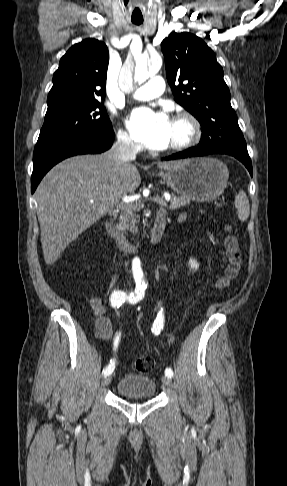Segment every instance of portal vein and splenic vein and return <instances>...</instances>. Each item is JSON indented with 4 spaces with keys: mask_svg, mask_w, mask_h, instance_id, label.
I'll use <instances>...</instances> for the list:
<instances>
[{
    "mask_svg": "<svg viewBox=\"0 0 287 486\" xmlns=\"http://www.w3.org/2000/svg\"><path fill=\"white\" fill-rule=\"evenodd\" d=\"M169 196L168 197H165V199H163L162 197H159V196H153L152 198H150L151 201L159 204L160 206H166L167 205V201L169 200ZM133 200V198L131 197H124L123 198V202L125 203H128V202H131ZM91 203H93V201H91Z\"/></svg>",
    "mask_w": 287,
    "mask_h": 486,
    "instance_id": "obj_1",
    "label": "portal vein and splenic vein"
}]
</instances>
